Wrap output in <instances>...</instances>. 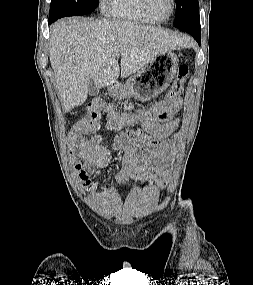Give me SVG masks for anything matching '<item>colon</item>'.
Listing matches in <instances>:
<instances>
[{
    "label": "colon",
    "mask_w": 253,
    "mask_h": 285,
    "mask_svg": "<svg viewBox=\"0 0 253 285\" xmlns=\"http://www.w3.org/2000/svg\"><path fill=\"white\" fill-rule=\"evenodd\" d=\"M188 74L189 67L186 64H181L177 69V74L167 99L148 110L118 113L111 108H106L107 128H114V126L129 127L138 124L147 114H156L160 107L182 92ZM103 108L101 102H93L78 126H71V129L68 130L69 140L67 144L71 145V147L67 154L71 167H67V172H71V176H75V180H83V186L88 190L94 187L90 181H87L89 172H91V168L95 164V159L90 158L92 154L91 148L94 147V141H98L97 133L93 131L99 129L101 125Z\"/></svg>",
    "instance_id": "1"
}]
</instances>
